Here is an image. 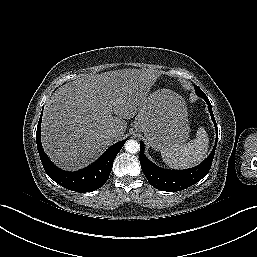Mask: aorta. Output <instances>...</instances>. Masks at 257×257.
Instances as JSON below:
<instances>
[{
  "instance_id": "1",
  "label": "aorta",
  "mask_w": 257,
  "mask_h": 257,
  "mask_svg": "<svg viewBox=\"0 0 257 257\" xmlns=\"http://www.w3.org/2000/svg\"><path fill=\"white\" fill-rule=\"evenodd\" d=\"M140 149V145L136 140H128L125 143V150L131 154L137 153Z\"/></svg>"
}]
</instances>
